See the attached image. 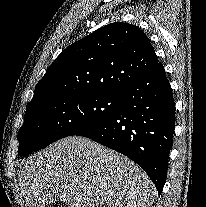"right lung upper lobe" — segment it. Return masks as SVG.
<instances>
[{"label": "right lung upper lobe", "mask_w": 206, "mask_h": 207, "mask_svg": "<svg viewBox=\"0 0 206 207\" xmlns=\"http://www.w3.org/2000/svg\"><path fill=\"white\" fill-rule=\"evenodd\" d=\"M158 63L141 29L111 23L71 44L56 58L36 85L27 108L58 97L121 94Z\"/></svg>", "instance_id": "1"}]
</instances>
